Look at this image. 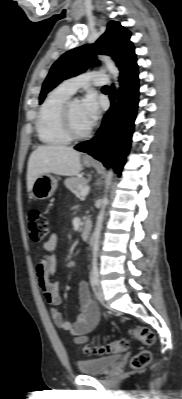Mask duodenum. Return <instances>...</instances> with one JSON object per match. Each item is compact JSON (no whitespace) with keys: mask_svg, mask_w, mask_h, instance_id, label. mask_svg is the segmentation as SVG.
I'll list each match as a JSON object with an SVG mask.
<instances>
[{"mask_svg":"<svg viewBox=\"0 0 182 399\" xmlns=\"http://www.w3.org/2000/svg\"><path fill=\"white\" fill-rule=\"evenodd\" d=\"M91 228H92L91 221H90V220H87V221L84 223V225H83V227H82V229H81V238H82L83 240L86 241V240L89 239L90 233H91Z\"/></svg>","mask_w":182,"mask_h":399,"instance_id":"duodenum-1","label":"duodenum"}]
</instances>
